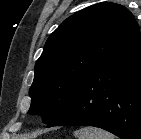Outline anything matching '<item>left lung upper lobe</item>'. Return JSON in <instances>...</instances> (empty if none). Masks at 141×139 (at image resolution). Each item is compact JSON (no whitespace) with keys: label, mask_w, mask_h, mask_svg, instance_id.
<instances>
[{"label":"left lung upper lobe","mask_w":141,"mask_h":139,"mask_svg":"<svg viewBox=\"0 0 141 139\" xmlns=\"http://www.w3.org/2000/svg\"><path fill=\"white\" fill-rule=\"evenodd\" d=\"M137 34L132 13L115 3H98L67 18L36 62L28 113L51 122L85 79Z\"/></svg>","instance_id":"obj_1"}]
</instances>
